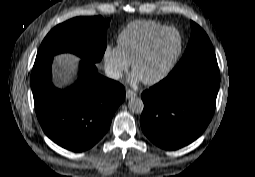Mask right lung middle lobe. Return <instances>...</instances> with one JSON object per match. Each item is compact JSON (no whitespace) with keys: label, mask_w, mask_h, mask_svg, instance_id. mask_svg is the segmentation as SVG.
<instances>
[{"label":"right lung middle lobe","mask_w":255,"mask_h":177,"mask_svg":"<svg viewBox=\"0 0 255 177\" xmlns=\"http://www.w3.org/2000/svg\"><path fill=\"white\" fill-rule=\"evenodd\" d=\"M109 22L101 16L76 17L57 25L44 38L36 60L71 52L83 60L99 62L106 49Z\"/></svg>","instance_id":"obj_1"}]
</instances>
